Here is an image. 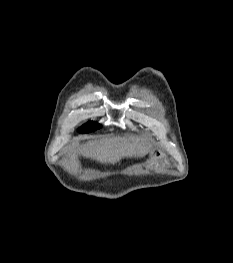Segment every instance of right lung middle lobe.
Masks as SVG:
<instances>
[{
	"label": "right lung middle lobe",
	"mask_w": 233,
	"mask_h": 263,
	"mask_svg": "<svg viewBox=\"0 0 233 263\" xmlns=\"http://www.w3.org/2000/svg\"><path fill=\"white\" fill-rule=\"evenodd\" d=\"M98 128H101L100 124L94 123V122H89L85 124L83 127L79 128L80 133H87V132H92L97 130Z\"/></svg>",
	"instance_id": "1"
}]
</instances>
